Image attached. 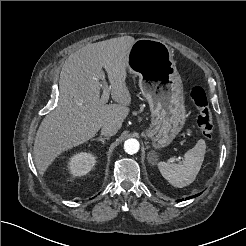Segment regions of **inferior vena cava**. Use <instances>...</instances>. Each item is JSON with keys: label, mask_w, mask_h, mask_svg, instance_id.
<instances>
[{"label": "inferior vena cava", "mask_w": 246, "mask_h": 246, "mask_svg": "<svg viewBox=\"0 0 246 246\" xmlns=\"http://www.w3.org/2000/svg\"><path fill=\"white\" fill-rule=\"evenodd\" d=\"M117 131H118L117 127L110 124H106L102 127L101 134L110 137L115 135Z\"/></svg>", "instance_id": "602c4592"}]
</instances>
